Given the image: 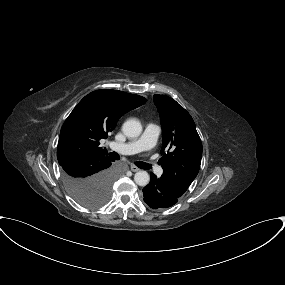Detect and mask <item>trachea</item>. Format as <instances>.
I'll list each match as a JSON object with an SVG mask.
<instances>
[{
	"mask_svg": "<svg viewBox=\"0 0 285 285\" xmlns=\"http://www.w3.org/2000/svg\"><path fill=\"white\" fill-rule=\"evenodd\" d=\"M109 156L115 160H119L120 159V156L118 153L116 152H111L109 153ZM135 165L139 168H142V169H150L151 168V165L145 163V162H141V161H138L135 163Z\"/></svg>",
	"mask_w": 285,
	"mask_h": 285,
	"instance_id": "1",
	"label": "trachea"
}]
</instances>
